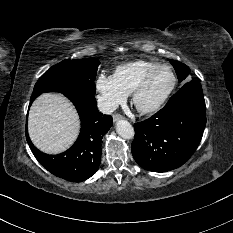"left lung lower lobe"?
<instances>
[{"mask_svg":"<svg viewBox=\"0 0 233 233\" xmlns=\"http://www.w3.org/2000/svg\"><path fill=\"white\" fill-rule=\"evenodd\" d=\"M205 125L202 87L199 82L190 81L160 111L135 124L132 155L149 171L166 172L178 168L197 149Z\"/></svg>","mask_w":233,"mask_h":233,"instance_id":"left-lung-lower-lobe-1","label":"left lung lower lobe"}]
</instances>
